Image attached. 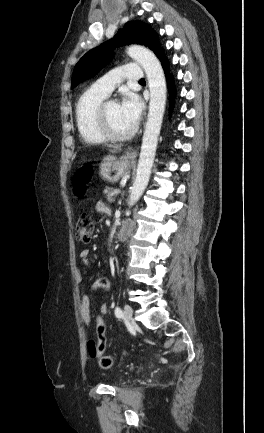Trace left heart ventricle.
<instances>
[{"mask_svg":"<svg viewBox=\"0 0 264 433\" xmlns=\"http://www.w3.org/2000/svg\"><path fill=\"white\" fill-rule=\"evenodd\" d=\"M107 115L110 126L116 133H125L134 127V124L128 120L118 103L108 106Z\"/></svg>","mask_w":264,"mask_h":433,"instance_id":"obj_1","label":"left heart ventricle"}]
</instances>
